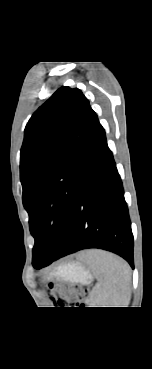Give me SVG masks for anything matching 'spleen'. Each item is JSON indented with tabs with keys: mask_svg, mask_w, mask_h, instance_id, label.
<instances>
[{
	"mask_svg": "<svg viewBox=\"0 0 152 369\" xmlns=\"http://www.w3.org/2000/svg\"><path fill=\"white\" fill-rule=\"evenodd\" d=\"M86 259L98 278L91 292V305L98 307H127L131 296L129 265L114 254L92 250Z\"/></svg>",
	"mask_w": 152,
	"mask_h": 369,
	"instance_id": "3e777b00",
	"label": "spleen"
}]
</instances>
